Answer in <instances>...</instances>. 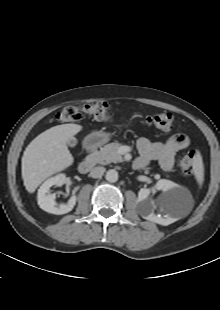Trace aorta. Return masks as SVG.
<instances>
[{
	"mask_svg": "<svg viewBox=\"0 0 220 310\" xmlns=\"http://www.w3.org/2000/svg\"><path fill=\"white\" fill-rule=\"evenodd\" d=\"M118 172L115 169H110L106 172V180L108 182L114 183L118 180Z\"/></svg>",
	"mask_w": 220,
	"mask_h": 310,
	"instance_id": "1",
	"label": "aorta"
}]
</instances>
